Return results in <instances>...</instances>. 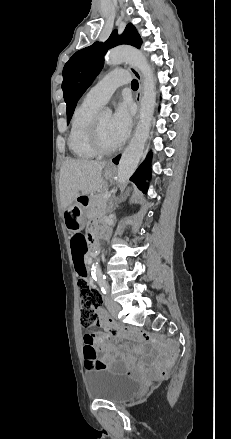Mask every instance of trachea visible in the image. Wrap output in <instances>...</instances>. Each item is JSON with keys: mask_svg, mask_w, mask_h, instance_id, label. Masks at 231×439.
<instances>
[{"mask_svg": "<svg viewBox=\"0 0 231 439\" xmlns=\"http://www.w3.org/2000/svg\"><path fill=\"white\" fill-rule=\"evenodd\" d=\"M138 86H139L138 81L136 79L132 80L131 87L133 89H138Z\"/></svg>", "mask_w": 231, "mask_h": 439, "instance_id": "trachea-1", "label": "trachea"}]
</instances>
